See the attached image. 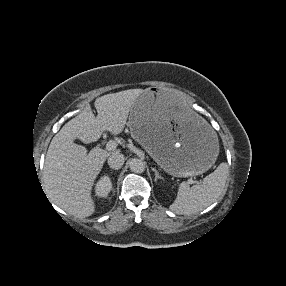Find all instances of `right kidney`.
Listing matches in <instances>:
<instances>
[{
    "mask_svg": "<svg viewBox=\"0 0 286 286\" xmlns=\"http://www.w3.org/2000/svg\"><path fill=\"white\" fill-rule=\"evenodd\" d=\"M112 189V183L108 176H103L96 184V195L99 197H107Z\"/></svg>",
    "mask_w": 286,
    "mask_h": 286,
    "instance_id": "right-kidney-1",
    "label": "right kidney"
}]
</instances>
